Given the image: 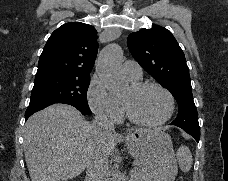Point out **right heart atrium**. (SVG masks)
<instances>
[{
    "mask_svg": "<svg viewBox=\"0 0 228 181\" xmlns=\"http://www.w3.org/2000/svg\"><path fill=\"white\" fill-rule=\"evenodd\" d=\"M90 108L101 118L119 123L123 117L122 103L108 92L103 79L93 78L88 88Z\"/></svg>",
    "mask_w": 228,
    "mask_h": 181,
    "instance_id": "d8ad5b80",
    "label": "right heart atrium"
}]
</instances>
